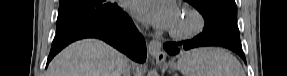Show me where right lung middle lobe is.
I'll return each mask as SVG.
<instances>
[{
    "mask_svg": "<svg viewBox=\"0 0 287 76\" xmlns=\"http://www.w3.org/2000/svg\"><path fill=\"white\" fill-rule=\"evenodd\" d=\"M122 12L107 0H60L56 31L59 34L78 25L106 21Z\"/></svg>",
    "mask_w": 287,
    "mask_h": 76,
    "instance_id": "dd1d6c3e",
    "label": "right lung middle lobe"
}]
</instances>
